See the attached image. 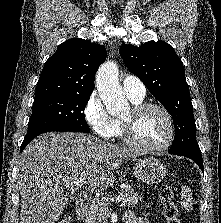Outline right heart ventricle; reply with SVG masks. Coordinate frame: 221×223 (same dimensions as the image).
I'll return each instance as SVG.
<instances>
[{"label": "right heart ventricle", "mask_w": 221, "mask_h": 223, "mask_svg": "<svg viewBox=\"0 0 221 223\" xmlns=\"http://www.w3.org/2000/svg\"><path fill=\"white\" fill-rule=\"evenodd\" d=\"M133 103L137 104V103H142L143 102V99H140V100H133L131 99ZM116 136L120 137L121 136V133H122V128H121V123L116 120Z\"/></svg>", "instance_id": "e07e8e85"}]
</instances>
